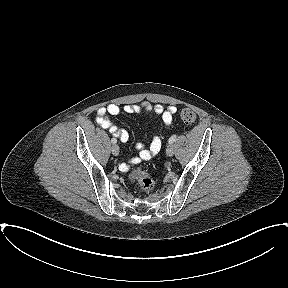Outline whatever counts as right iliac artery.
<instances>
[{"label": "right iliac artery", "mask_w": 288, "mask_h": 288, "mask_svg": "<svg viewBox=\"0 0 288 288\" xmlns=\"http://www.w3.org/2000/svg\"><path fill=\"white\" fill-rule=\"evenodd\" d=\"M111 142H112L113 144H115V143L117 142L116 138H112V139H111Z\"/></svg>", "instance_id": "1"}]
</instances>
